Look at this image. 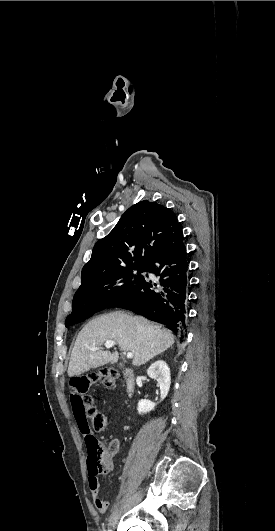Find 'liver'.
<instances>
[{
  "label": "liver",
  "instance_id": "1",
  "mask_svg": "<svg viewBox=\"0 0 275 531\" xmlns=\"http://www.w3.org/2000/svg\"><path fill=\"white\" fill-rule=\"evenodd\" d=\"M106 341H115L124 353H132V365L140 367L174 345L172 331H161L144 317H132L122 311L100 315L80 331L71 353L68 377L82 375L107 363H117L119 353L102 351ZM99 347V351H90Z\"/></svg>",
  "mask_w": 275,
  "mask_h": 531
}]
</instances>
